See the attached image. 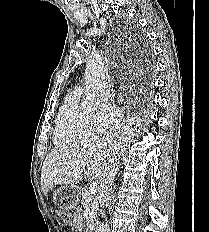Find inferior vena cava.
<instances>
[{
  "label": "inferior vena cava",
  "mask_w": 209,
  "mask_h": 232,
  "mask_svg": "<svg viewBox=\"0 0 209 232\" xmlns=\"http://www.w3.org/2000/svg\"><path fill=\"white\" fill-rule=\"evenodd\" d=\"M106 138L111 140V142L108 143V151L113 155V160L105 168L100 180L99 198L102 205H104V203H106L110 197L113 180L116 175V162L118 160V155L121 154L118 153L117 145H115V135L112 133H107Z\"/></svg>",
  "instance_id": "1"
}]
</instances>
